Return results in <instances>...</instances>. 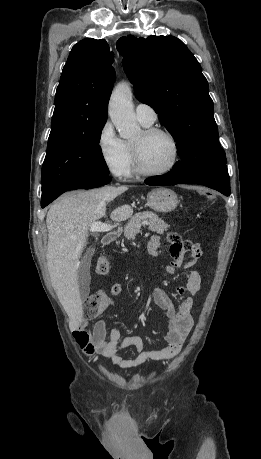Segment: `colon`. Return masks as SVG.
I'll list each match as a JSON object with an SVG mask.
<instances>
[{
	"label": "colon",
	"mask_w": 261,
	"mask_h": 459,
	"mask_svg": "<svg viewBox=\"0 0 261 459\" xmlns=\"http://www.w3.org/2000/svg\"><path fill=\"white\" fill-rule=\"evenodd\" d=\"M198 197H215V188H198ZM96 272L100 275H105L110 270V264L106 257H99L96 262ZM107 302L105 293L97 292L92 294L85 302V317L87 319L95 318L104 308Z\"/></svg>",
	"instance_id": "5ec220e1"
}]
</instances>
